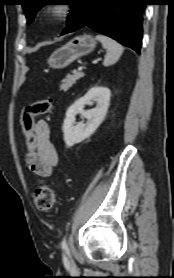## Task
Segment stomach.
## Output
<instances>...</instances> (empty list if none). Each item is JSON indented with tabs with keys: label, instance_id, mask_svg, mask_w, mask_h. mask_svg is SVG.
I'll list each match as a JSON object with an SVG mask.
<instances>
[{
	"label": "stomach",
	"instance_id": "obj_1",
	"mask_svg": "<svg viewBox=\"0 0 174 278\" xmlns=\"http://www.w3.org/2000/svg\"><path fill=\"white\" fill-rule=\"evenodd\" d=\"M95 45L96 43L90 35L77 36L55 50L50 55L47 63L49 67L54 69L65 68L76 59L93 51Z\"/></svg>",
	"mask_w": 174,
	"mask_h": 278
}]
</instances>
